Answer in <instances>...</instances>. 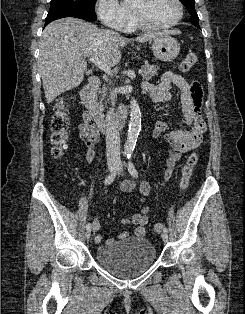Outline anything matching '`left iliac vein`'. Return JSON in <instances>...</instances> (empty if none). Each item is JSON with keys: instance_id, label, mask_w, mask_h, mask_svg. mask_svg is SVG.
<instances>
[{"instance_id": "left-iliac-vein-1", "label": "left iliac vein", "mask_w": 245, "mask_h": 314, "mask_svg": "<svg viewBox=\"0 0 245 314\" xmlns=\"http://www.w3.org/2000/svg\"><path fill=\"white\" fill-rule=\"evenodd\" d=\"M123 171H124L123 166H122L121 164H119L118 167H117V174H118V175H122V174H123ZM161 237H162V240H163L164 242H166V241L168 240V234H167V232H163V233L161 234Z\"/></svg>"}]
</instances>
